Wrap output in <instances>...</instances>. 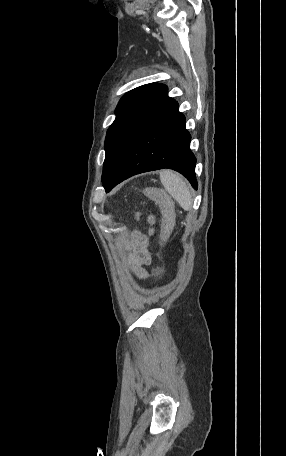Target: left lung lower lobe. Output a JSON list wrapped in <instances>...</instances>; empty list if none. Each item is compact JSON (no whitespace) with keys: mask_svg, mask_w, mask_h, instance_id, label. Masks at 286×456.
Segmentation results:
<instances>
[{"mask_svg":"<svg viewBox=\"0 0 286 456\" xmlns=\"http://www.w3.org/2000/svg\"><path fill=\"white\" fill-rule=\"evenodd\" d=\"M190 140L191 136L185 129V117L174 101L136 137L106 192L133 175L163 168L180 172L197 189L196 158L190 151Z\"/></svg>","mask_w":286,"mask_h":456,"instance_id":"0a47b994","label":"left lung lower lobe"}]
</instances>
